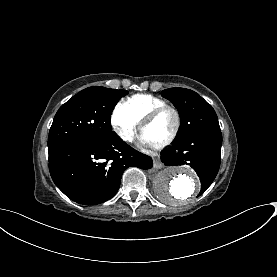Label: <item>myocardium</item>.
Listing matches in <instances>:
<instances>
[{"mask_svg": "<svg viewBox=\"0 0 277 277\" xmlns=\"http://www.w3.org/2000/svg\"><path fill=\"white\" fill-rule=\"evenodd\" d=\"M165 111H172L174 116H175V125L174 128L171 132V134L162 142H160L159 144H157V147H164L168 144H170L178 135L180 127H181V114L179 112V110L169 104H165L159 107H156L152 110H150L145 117L143 118V120L141 121L140 124V131L143 132V130L150 124H152L162 113H164Z\"/></svg>", "mask_w": 277, "mask_h": 277, "instance_id": "1", "label": "myocardium"}]
</instances>
